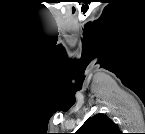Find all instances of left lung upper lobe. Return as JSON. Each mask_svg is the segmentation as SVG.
I'll return each instance as SVG.
<instances>
[{
  "label": "left lung upper lobe",
  "instance_id": "5c2ea615",
  "mask_svg": "<svg viewBox=\"0 0 145 134\" xmlns=\"http://www.w3.org/2000/svg\"><path fill=\"white\" fill-rule=\"evenodd\" d=\"M77 134H120V129L107 115L89 117L77 130Z\"/></svg>",
  "mask_w": 145,
  "mask_h": 134
}]
</instances>
